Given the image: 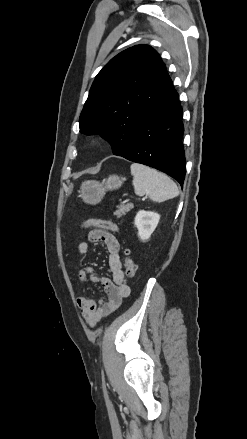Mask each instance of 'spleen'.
<instances>
[{"label": "spleen", "mask_w": 247, "mask_h": 439, "mask_svg": "<svg viewBox=\"0 0 247 439\" xmlns=\"http://www.w3.org/2000/svg\"><path fill=\"white\" fill-rule=\"evenodd\" d=\"M133 186L138 196L148 195L154 202H163L179 195L177 185L164 173L148 166L133 163L131 165Z\"/></svg>", "instance_id": "1"}]
</instances>
